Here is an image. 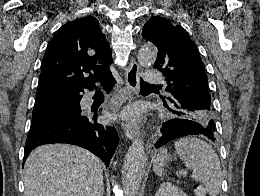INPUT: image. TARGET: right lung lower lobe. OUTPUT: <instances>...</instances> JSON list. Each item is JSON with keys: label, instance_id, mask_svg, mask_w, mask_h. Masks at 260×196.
<instances>
[{"label": "right lung lower lobe", "instance_id": "obj_1", "mask_svg": "<svg viewBox=\"0 0 260 196\" xmlns=\"http://www.w3.org/2000/svg\"><path fill=\"white\" fill-rule=\"evenodd\" d=\"M114 83L113 78L106 82L108 91L111 90ZM93 89L89 90L92 91ZM81 98L80 93L47 105L52 109L73 112L80 114V116L30 130L25 144L23 162L37 146L49 143H67L88 149L101 158L107 166L109 165L118 145L117 132L114 127L103 125L97 121L100 113L96 110L93 114L81 115Z\"/></svg>", "mask_w": 260, "mask_h": 196}]
</instances>
